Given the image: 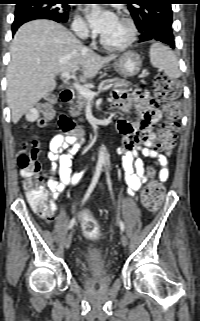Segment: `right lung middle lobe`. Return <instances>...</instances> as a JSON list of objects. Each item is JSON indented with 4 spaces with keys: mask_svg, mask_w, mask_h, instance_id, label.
<instances>
[{
    "mask_svg": "<svg viewBox=\"0 0 200 321\" xmlns=\"http://www.w3.org/2000/svg\"><path fill=\"white\" fill-rule=\"evenodd\" d=\"M69 3V0H23L17 3L15 16L26 12H45L65 23L70 10Z\"/></svg>",
    "mask_w": 200,
    "mask_h": 321,
    "instance_id": "dd1d6c3e",
    "label": "right lung middle lobe"
}]
</instances>
